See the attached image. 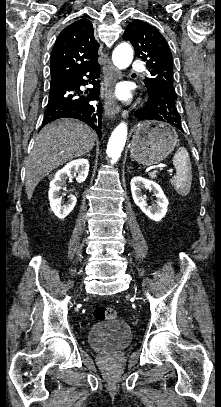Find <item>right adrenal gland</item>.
I'll return each mask as SVG.
<instances>
[{"mask_svg":"<svg viewBox=\"0 0 221 407\" xmlns=\"http://www.w3.org/2000/svg\"><path fill=\"white\" fill-rule=\"evenodd\" d=\"M87 156H89V157H90L91 155H90V154H87Z\"/></svg>","mask_w":221,"mask_h":407,"instance_id":"obj_1","label":"right adrenal gland"}]
</instances>
